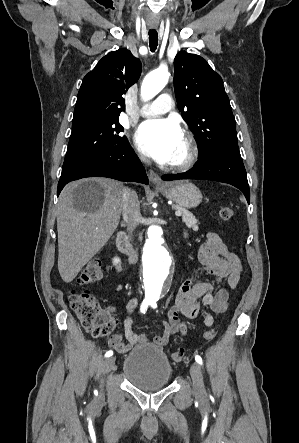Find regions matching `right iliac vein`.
I'll list each match as a JSON object with an SVG mask.
<instances>
[{"label":"right iliac vein","instance_id":"right-iliac-vein-1","mask_svg":"<svg viewBox=\"0 0 299 443\" xmlns=\"http://www.w3.org/2000/svg\"><path fill=\"white\" fill-rule=\"evenodd\" d=\"M114 362H115V357H110V358L106 359L103 364L102 373L103 374L108 373L112 369ZM102 392H103V389H101L100 397L103 395Z\"/></svg>","mask_w":299,"mask_h":443}]
</instances>
